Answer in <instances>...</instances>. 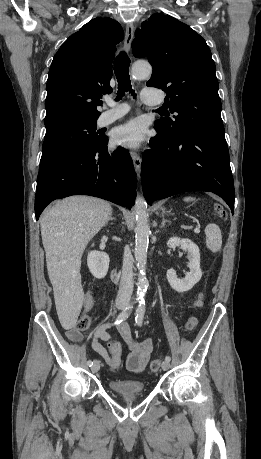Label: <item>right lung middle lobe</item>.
Segmentation results:
<instances>
[{
  "mask_svg": "<svg viewBox=\"0 0 261 459\" xmlns=\"http://www.w3.org/2000/svg\"><path fill=\"white\" fill-rule=\"evenodd\" d=\"M104 139L96 120H67L46 127L40 168L70 153L91 149Z\"/></svg>",
  "mask_w": 261,
  "mask_h": 459,
  "instance_id": "obj_1",
  "label": "right lung middle lobe"
}]
</instances>
